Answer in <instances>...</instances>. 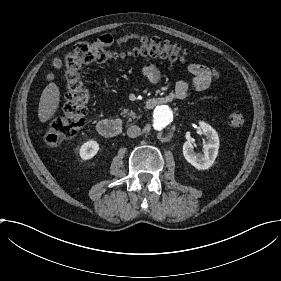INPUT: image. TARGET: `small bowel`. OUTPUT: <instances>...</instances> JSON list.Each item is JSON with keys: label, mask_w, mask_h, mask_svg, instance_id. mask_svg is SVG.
Listing matches in <instances>:
<instances>
[{"label": "small bowel", "mask_w": 281, "mask_h": 281, "mask_svg": "<svg viewBox=\"0 0 281 281\" xmlns=\"http://www.w3.org/2000/svg\"><path fill=\"white\" fill-rule=\"evenodd\" d=\"M128 39V34L119 35L115 38V44L121 47L126 44ZM61 65L62 63L60 61L56 62V67L58 69ZM188 71L191 77L177 82L172 93L166 96H155L157 98V105L164 104L166 102L172 103L176 101V99L185 100L188 97L190 90H204L212 84L215 78L214 70L199 64H190L188 66ZM143 72L150 84L154 85L160 81V72L153 63L145 64Z\"/></svg>", "instance_id": "c3829d8e"}]
</instances>
